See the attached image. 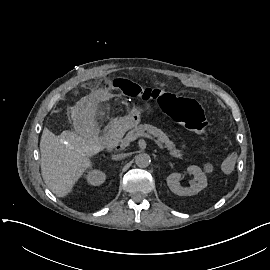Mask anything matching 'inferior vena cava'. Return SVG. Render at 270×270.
Masks as SVG:
<instances>
[{"mask_svg": "<svg viewBox=\"0 0 270 270\" xmlns=\"http://www.w3.org/2000/svg\"><path fill=\"white\" fill-rule=\"evenodd\" d=\"M127 156V154H118V155H113L112 159L113 160H119V159H123Z\"/></svg>", "mask_w": 270, "mask_h": 270, "instance_id": "1", "label": "inferior vena cava"}]
</instances>
